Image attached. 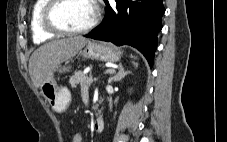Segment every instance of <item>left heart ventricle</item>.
Returning a JSON list of instances; mask_svg holds the SVG:
<instances>
[{
  "mask_svg": "<svg viewBox=\"0 0 227 142\" xmlns=\"http://www.w3.org/2000/svg\"><path fill=\"white\" fill-rule=\"evenodd\" d=\"M94 13L91 0H67L58 9L56 20L64 28L77 29L89 24Z\"/></svg>",
  "mask_w": 227,
  "mask_h": 142,
  "instance_id": "left-heart-ventricle-1",
  "label": "left heart ventricle"
}]
</instances>
